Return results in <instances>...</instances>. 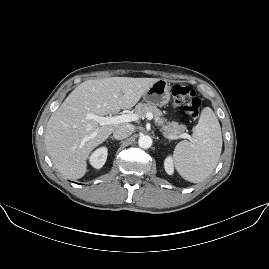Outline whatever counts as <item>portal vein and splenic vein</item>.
I'll use <instances>...</instances> for the list:
<instances>
[{
	"label": "portal vein and splenic vein",
	"instance_id": "1",
	"mask_svg": "<svg viewBox=\"0 0 269 269\" xmlns=\"http://www.w3.org/2000/svg\"><path fill=\"white\" fill-rule=\"evenodd\" d=\"M146 120L151 121L154 118L153 113L148 112L145 115ZM86 119L88 120H95L97 121L100 125H111V124H120V123H125V122H132V121H137L139 119V115L136 113H130V114H123L120 116H115V117H103V116H98L96 114L93 113H88L86 115ZM166 138L170 139V140H176L179 138H183V139H188L192 141V138L189 134L187 133H183L180 135H169V136H165Z\"/></svg>",
	"mask_w": 269,
	"mask_h": 269
}]
</instances>
